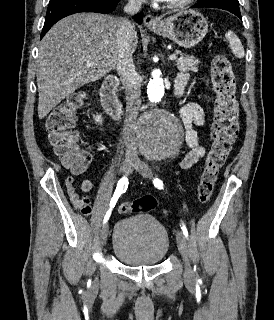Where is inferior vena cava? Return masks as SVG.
I'll return each instance as SVG.
<instances>
[{
    "label": "inferior vena cava",
    "mask_w": 274,
    "mask_h": 320,
    "mask_svg": "<svg viewBox=\"0 0 274 320\" xmlns=\"http://www.w3.org/2000/svg\"><path fill=\"white\" fill-rule=\"evenodd\" d=\"M145 0H128L124 8L127 18H120L116 24L115 40L117 42L116 68L120 80L125 88L126 116L124 120V140H128L127 134L134 128L141 104V84L132 58V42L136 40L135 26L129 20L130 16L137 14ZM128 148H133L129 142Z\"/></svg>",
    "instance_id": "obj_1"
}]
</instances>
